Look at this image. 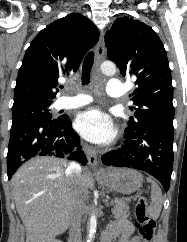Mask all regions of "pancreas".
Wrapping results in <instances>:
<instances>
[{
    "mask_svg": "<svg viewBox=\"0 0 187 242\" xmlns=\"http://www.w3.org/2000/svg\"><path fill=\"white\" fill-rule=\"evenodd\" d=\"M133 199H136V197H134ZM129 201L130 199H120V198L116 199L114 208L112 209V213L116 217L126 216L129 211V206H128Z\"/></svg>",
    "mask_w": 187,
    "mask_h": 242,
    "instance_id": "cf45deb5",
    "label": "pancreas"
}]
</instances>
